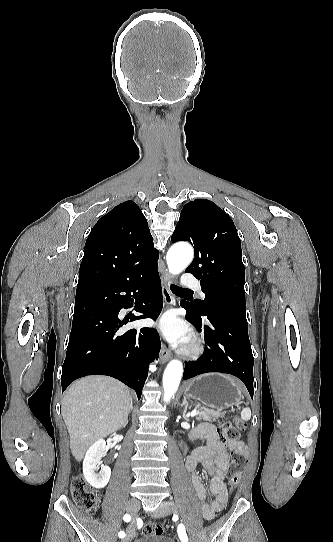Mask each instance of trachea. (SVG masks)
<instances>
[{"label":"trachea","mask_w":333,"mask_h":542,"mask_svg":"<svg viewBox=\"0 0 333 542\" xmlns=\"http://www.w3.org/2000/svg\"><path fill=\"white\" fill-rule=\"evenodd\" d=\"M171 289L172 291H177V290H181L182 287H178L177 285H171Z\"/></svg>","instance_id":"1"}]
</instances>
